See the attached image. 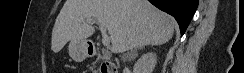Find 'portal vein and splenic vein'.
Instances as JSON below:
<instances>
[{"label":"portal vein and splenic vein","mask_w":244,"mask_h":73,"mask_svg":"<svg viewBox=\"0 0 244 73\" xmlns=\"http://www.w3.org/2000/svg\"><path fill=\"white\" fill-rule=\"evenodd\" d=\"M88 24H94V23H97L99 25V28H100V31L102 33V44L105 46V47H108L110 45V37H108L107 33H106V28L103 24L97 22L96 20L94 19H87L86 21Z\"/></svg>","instance_id":"1"}]
</instances>
